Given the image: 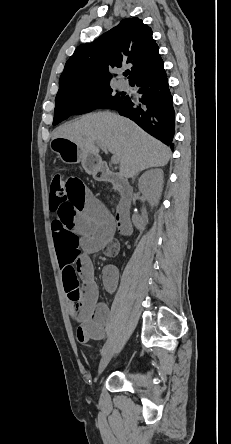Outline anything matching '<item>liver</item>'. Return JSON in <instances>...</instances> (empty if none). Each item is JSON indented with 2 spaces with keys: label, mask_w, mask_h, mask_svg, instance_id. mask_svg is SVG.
Listing matches in <instances>:
<instances>
[{
  "label": "liver",
  "mask_w": 231,
  "mask_h": 444,
  "mask_svg": "<svg viewBox=\"0 0 231 444\" xmlns=\"http://www.w3.org/2000/svg\"><path fill=\"white\" fill-rule=\"evenodd\" d=\"M58 137L66 138L84 152L96 156H99L96 142L103 143L119 158L120 175L125 178L148 168L165 166L171 157L168 146L131 120L110 112L89 114L63 124L53 133V138Z\"/></svg>",
  "instance_id": "6515ba94"
}]
</instances>
